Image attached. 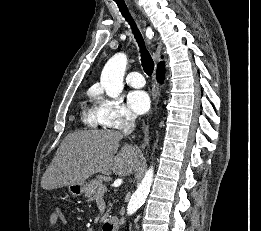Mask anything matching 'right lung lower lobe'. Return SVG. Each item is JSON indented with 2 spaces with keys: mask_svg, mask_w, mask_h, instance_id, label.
<instances>
[{
  "mask_svg": "<svg viewBox=\"0 0 261 231\" xmlns=\"http://www.w3.org/2000/svg\"><path fill=\"white\" fill-rule=\"evenodd\" d=\"M156 75H157L158 81L160 83H162L164 80V77H165V65L158 67Z\"/></svg>",
  "mask_w": 261,
  "mask_h": 231,
  "instance_id": "1",
  "label": "right lung lower lobe"
}]
</instances>
